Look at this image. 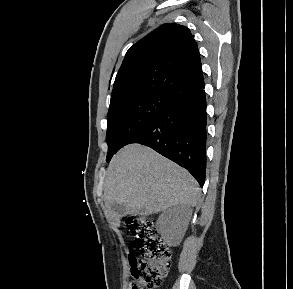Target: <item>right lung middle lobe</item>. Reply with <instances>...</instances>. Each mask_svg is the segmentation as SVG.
<instances>
[{
	"mask_svg": "<svg viewBox=\"0 0 293 289\" xmlns=\"http://www.w3.org/2000/svg\"><path fill=\"white\" fill-rule=\"evenodd\" d=\"M172 104L171 100L159 95H142L128 97L110 105L106 160L109 162L117 150L127 145L139 130Z\"/></svg>",
	"mask_w": 293,
	"mask_h": 289,
	"instance_id": "dd1d6c3e",
	"label": "right lung middle lobe"
}]
</instances>
